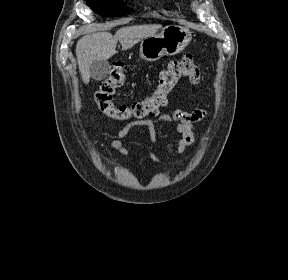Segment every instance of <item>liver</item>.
Returning <instances> with one entry per match:
<instances>
[{
    "label": "liver",
    "mask_w": 288,
    "mask_h": 280,
    "mask_svg": "<svg viewBox=\"0 0 288 280\" xmlns=\"http://www.w3.org/2000/svg\"><path fill=\"white\" fill-rule=\"evenodd\" d=\"M161 25H136L122 27L115 35L101 31L86 35L76 45L79 71L85 84L89 82V67L94 61L108 60L116 54L118 41L123 50L133 47L144 38L156 35Z\"/></svg>",
    "instance_id": "1"
}]
</instances>
